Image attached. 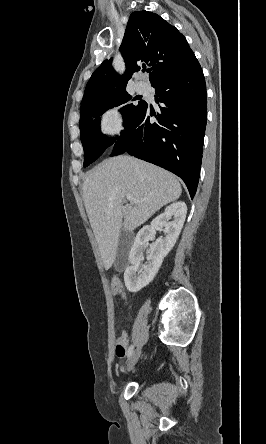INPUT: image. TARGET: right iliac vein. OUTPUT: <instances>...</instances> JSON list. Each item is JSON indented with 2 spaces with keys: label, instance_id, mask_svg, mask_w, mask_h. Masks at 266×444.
Segmentation results:
<instances>
[{
  "label": "right iliac vein",
  "instance_id": "right-iliac-vein-1",
  "mask_svg": "<svg viewBox=\"0 0 266 444\" xmlns=\"http://www.w3.org/2000/svg\"><path fill=\"white\" fill-rule=\"evenodd\" d=\"M141 351H142L141 346H138L131 354L130 360L127 365L128 371H130L134 367V365L137 363V361L141 355Z\"/></svg>",
  "mask_w": 266,
  "mask_h": 444
}]
</instances>
